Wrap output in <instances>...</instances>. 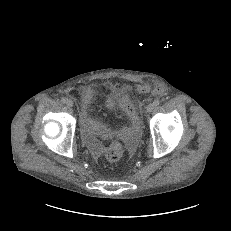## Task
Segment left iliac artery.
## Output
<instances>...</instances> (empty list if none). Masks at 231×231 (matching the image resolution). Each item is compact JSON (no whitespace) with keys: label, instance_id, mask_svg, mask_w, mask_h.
Wrapping results in <instances>:
<instances>
[{"label":"left iliac artery","instance_id":"44dca946","mask_svg":"<svg viewBox=\"0 0 231 231\" xmlns=\"http://www.w3.org/2000/svg\"><path fill=\"white\" fill-rule=\"evenodd\" d=\"M153 104H154L155 106H158V105L160 104V101H159L158 99H156V100H154Z\"/></svg>","mask_w":231,"mask_h":231}]
</instances>
